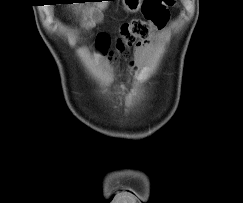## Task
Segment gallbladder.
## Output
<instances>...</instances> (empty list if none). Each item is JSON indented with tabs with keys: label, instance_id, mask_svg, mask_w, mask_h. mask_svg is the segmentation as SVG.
I'll return each instance as SVG.
<instances>
[{
	"label": "gallbladder",
	"instance_id": "bac80fb5",
	"mask_svg": "<svg viewBox=\"0 0 243 203\" xmlns=\"http://www.w3.org/2000/svg\"><path fill=\"white\" fill-rule=\"evenodd\" d=\"M92 19L95 23H100L103 20V16L99 12H94L92 15Z\"/></svg>",
	"mask_w": 243,
	"mask_h": 203
}]
</instances>
